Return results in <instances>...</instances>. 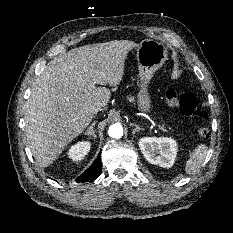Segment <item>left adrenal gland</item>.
I'll return each instance as SVG.
<instances>
[{
	"instance_id": "a2214340",
	"label": "left adrenal gland",
	"mask_w": 233,
	"mask_h": 233,
	"mask_svg": "<svg viewBox=\"0 0 233 233\" xmlns=\"http://www.w3.org/2000/svg\"><path fill=\"white\" fill-rule=\"evenodd\" d=\"M131 126L135 127V128L133 129V132H132L133 135H134L136 132H139V131L143 130V128H141V127H140L139 125H137V124L131 123Z\"/></svg>"
}]
</instances>
